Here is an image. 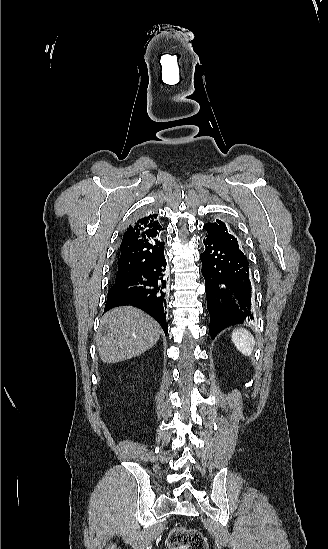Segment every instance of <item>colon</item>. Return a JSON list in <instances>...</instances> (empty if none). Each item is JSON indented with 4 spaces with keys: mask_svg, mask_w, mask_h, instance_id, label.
<instances>
[{
    "mask_svg": "<svg viewBox=\"0 0 328 549\" xmlns=\"http://www.w3.org/2000/svg\"><path fill=\"white\" fill-rule=\"evenodd\" d=\"M167 544L170 549H208L206 538L200 531L182 526L170 530Z\"/></svg>",
    "mask_w": 328,
    "mask_h": 549,
    "instance_id": "5ec220e1",
    "label": "colon"
}]
</instances>
